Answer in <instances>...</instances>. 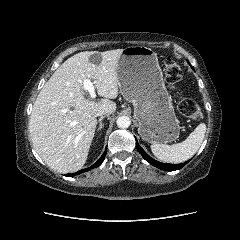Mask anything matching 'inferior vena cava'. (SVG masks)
Segmentation results:
<instances>
[{
    "label": "inferior vena cava",
    "instance_id": "602c4592",
    "mask_svg": "<svg viewBox=\"0 0 240 240\" xmlns=\"http://www.w3.org/2000/svg\"><path fill=\"white\" fill-rule=\"evenodd\" d=\"M97 116H103V115H110V113L107 110H100L96 113Z\"/></svg>",
    "mask_w": 240,
    "mask_h": 240
}]
</instances>
